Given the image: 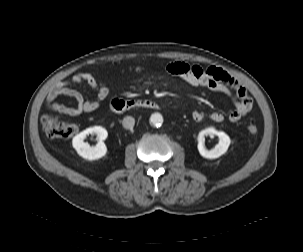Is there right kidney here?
<instances>
[{
	"instance_id": "right-kidney-1",
	"label": "right kidney",
	"mask_w": 303,
	"mask_h": 252,
	"mask_svg": "<svg viewBox=\"0 0 303 252\" xmlns=\"http://www.w3.org/2000/svg\"><path fill=\"white\" fill-rule=\"evenodd\" d=\"M89 134H96L99 139L95 147H91L87 142H84V139ZM107 136L108 132L105 128L101 126L90 127L77 134L72 140V145L82 158L88 160L100 159L107 153V147L103 142Z\"/></svg>"
}]
</instances>
